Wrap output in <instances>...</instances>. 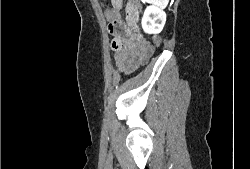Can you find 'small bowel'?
Returning a JSON list of instances; mask_svg holds the SVG:
<instances>
[{
	"instance_id": "obj_1",
	"label": "small bowel",
	"mask_w": 250,
	"mask_h": 169,
	"mask_svg": "<svg viewBox=\"0 0 250 169\" xmlns=\"http://www.w3.org/2000/svg\"><path fill=\"white\" fill-rule=\"evenodd\" d=\"M108 18L112 22L121 18L120 8L115 5L109 10ZM130 23V22H129ZM114 58L119 70L129 73L142 64L153 52L150 45L138 41L132 33L119 35L112 41Z\"/></svg>"
}]
</instances>
